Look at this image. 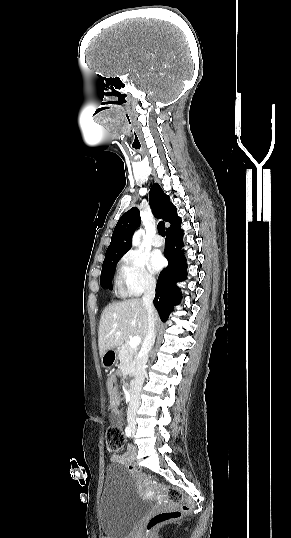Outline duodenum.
Returning a JSON list of instances; mask_svg holds the SVG:
<instances>
[{"label":"duodenum","instance_id":"duodenum-1","mask_svg":"<svg viewBox=\"0 0 291 538\" xmlns=\"http://www.w3.org/2000/svg\"><path fill=\"white\" fill-rule=\"evenodd\" d=\"M108 354L112 357V358H115L116 356V352L114 350H109L108 351ZM123 386H124V391H123V394L125 397L127 398H130L133 396L134 394V383L132 382L133 381V378L130 376V374L128 372H125L123 374Z\"/></svg>","mask_w":291,"mask_h":538}]
</instances>
